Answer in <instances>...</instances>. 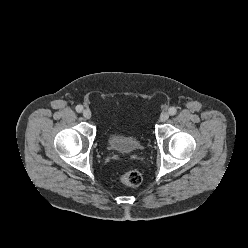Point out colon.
<instances>
[{"mask_svg":"<svg viewBox=\"0 0 248 248\" xmlns=\"http://www.w3.org/2000/svg\"><path fill=\"white\" fill-rule=\"evenodd\" d=\"M119 179L123 184L131 187H136L142 182L141 174L135 170L123 172L120 175Z\"/></svg>","mask_w":248,"mask_h":248,"instance_id":"colon-1","label":"colon"}]
</instances>
